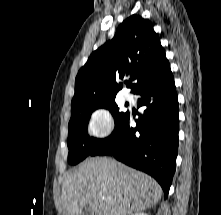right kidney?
Returning a JSON list of instances; mask_svg holds the SVG:
<instances>
[{
    "label": "right kidney",
    "mask_w": 221,
    "mask_h": 215,
    "mask_svg": "<svg viewBox=\"0 0 221 215\" xmlns=\"http://www.w3.org/2000/svg\"><path fill=\"white\" fill-rule=\"evenodd\" d=\"M132 215H148V214L143 213V212H139V213H135V214H132Z\"/></svg>",
    "instance_id": "1"
}]
</instances>
